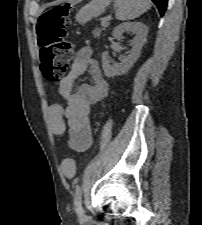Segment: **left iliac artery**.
<instances>
[{"label": "left iliac artery", "instance_id": "44dca946", "mask_svg": "<svg viewBox=\"0 0 202 225\" xmlns=\"http://www.w3.org/2000/svg\"><path fill=\"white\" fill-rule=\"evenodd\" d=\"M74 205L76 207V212L81 214L83 212L82 202H81V188L78 186L75 191Z\"/></svg>", "mask_w": 202, "mask_h": 225}]
</instances>
